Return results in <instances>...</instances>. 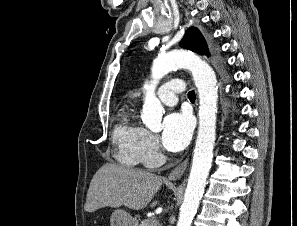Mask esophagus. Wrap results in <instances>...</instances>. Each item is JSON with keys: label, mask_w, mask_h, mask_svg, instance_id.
Here are the masks:
<instances>
[{"label": "esophagus", "mask_w": 297, "mask_h": 226, "mask_svg": "<svg viewBox=\"0 0 297 226\" xmlns=\"http://www.w3.org/2000/svg\"><path fill=\"white\" fill-rule=\"evenodd\" d=\"M188 165V158H186L182 163H180L168 176L169 181H175L179 179L186 170Z\"/></svg>", "instance_id": "34e87169"}]
</instances>
